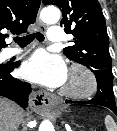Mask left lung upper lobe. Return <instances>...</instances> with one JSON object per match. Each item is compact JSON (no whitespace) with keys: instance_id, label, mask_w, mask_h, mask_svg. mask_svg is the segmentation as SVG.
I'll return each instance as SVG.
<instances>
[{"instance_id":"obj_1","label":"left lung upper lobe","mask_w":117,"mask_h":131,"mask_svg":"<svg viewBox=\"0 0 117 131\" xmlns=\"http://www.w3.org/2000/svg\"><path fill=\"white\" fill-rule=\"evenodd\" d=\"M44 5L61 8V26L73 34L72 46L64 55L88 67L96 76L98 89L108 88L113 96L112 61L106 23L98 0H42Z\"/></svg>"}]
</instances>
